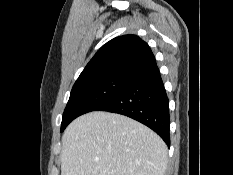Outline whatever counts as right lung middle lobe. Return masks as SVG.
Wrapping results in <instances>:
<instances>
[{"label": "right lung middle lobe", "instance_id": "1", "mask_svg": "<svg viewBox=\"0 0 233 175\" xmlns=\"http://www.w3.org/2000/svg\"><path fill=\"white\" fill-rule=\"evenodd\" d=\"M133 77L104 75L75 82L63 113L61 132L76 117L95 111L119 93Z\"/></svg>", "mask_w": 233, "mask_h": 175}]
</instances>
